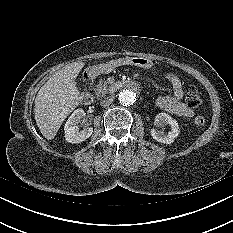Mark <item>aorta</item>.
<instances>
[{
  "instance_id": "762f6f07",
  "label": "aorta",
  "mask_w": 233,
  "mask_h": 233,
  "mask_svg": "<svg viewBox=\"0 0 233 233\" xmlns=\"http://www.w3.org/2000/svg\"><path fill=\"white\" fill-rule=\"evenodd\" d=\"M140 96V88L137 85H129L119 93V102L125 106L133 105Z\"/></svg>"
}]
</instances>
